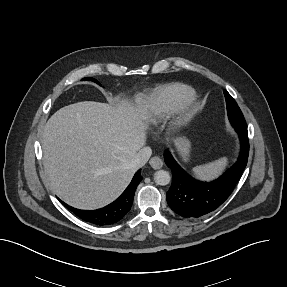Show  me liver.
Wrapping results in <instances>:
<instances>
[{
    "mask_svg": "<svg viewBox=\"0 0 287 287\" xmlns=\"http://www.w3.org/2000/svg\"><path fill=\"white\" fill-rule=\"evenodd\" d=\"M135 106L84 101L59 109L42 135L43 165L52 190L84 210L104 207L128 186L131 162L146 144L150 113L144 96Z\"/></svg>",
    "mask_w": 287,
    "mask_h": 287,
    "instance_id": "6515ba94",
    "label": "liver"
}]
</instances>
